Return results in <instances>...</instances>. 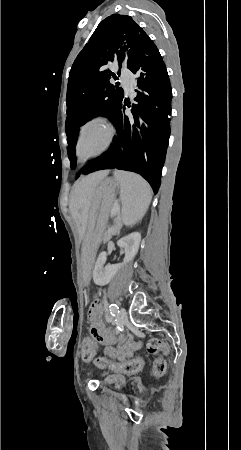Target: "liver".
Listing matches in <instances>:
<instances>
[{
	"instance_id": "liver-1",
	"label": "liver",
	"mask_w": 241,
	"mask_h": 450,
	"mask_svg": "<svg viewBox=\"0 0 241 450\" xmlns=\"http://www.w3.org/2000/svg\"><path fill=\"white\" fill-rule=\"evenodd\" d=\"M109 170H101V172H94V174H89V176H82L73 186V190L70 196V210L73 216H79L81 210L83 214V226L85 228L87 222V214L89 206L93 200V196L96 192V188L108 176Z\"/></svg>"
}]
</instances>
